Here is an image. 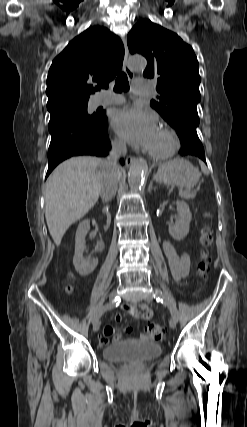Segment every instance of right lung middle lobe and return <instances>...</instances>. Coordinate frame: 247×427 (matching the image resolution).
Returning <instances> with one entry per match:
<instances>
[{"label": "right lung middle lobe", "instance_id": "1", "mask_svg": "<svg viewBox=\"0 0 247 427\" xmlns=\"http://www.w3.org/2000/svg\"><path fill=\"white\" fill-rule=\"evenodd\" d=\"M55 114H66L75 116L91 124L100 123L104 119L103 114L94 113L92 115H89L87 113V105L66 107L56 112Z\"/></svg>", "mask_w": 247, "mask_h": 427}]
</instances>
